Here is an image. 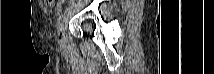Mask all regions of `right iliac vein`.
<instances>
[{"label":"right iliac vein","mask_w":214,"mask_h":74,"mask_svg":"<svg viewBox=\"0 0 214 74\" xmlns=\"http://www.w3.org/2000/svg\"><path fill=\"white\" fill-rule=\"evenodd\" d=\"M64 31V27H63V25H62V27H61V32H63ZM63 40H64V36H62V38H61V42H63Z\"/></svg>","instance_id":"63e3f726"}]
</instances>
